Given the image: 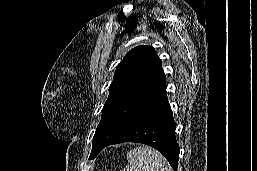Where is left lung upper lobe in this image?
Here are the masks:
<instances>
[{"mask_svg":"<svg viewBox=\"0 0 257 171\" xmlns=\"http://www.w3.org/2000/svg\"><path fill=\"white\" fill-rule=\"evenodd\" d=\"M165 83L155 49L152 46L131 49L116 68L91 152L116 137Z\"/></svg>","mask_w":257,"mask_h":171,"instance_id":"5c2ea615","label":"left lung upper lobe"}]
</instances>
